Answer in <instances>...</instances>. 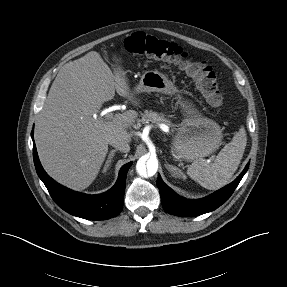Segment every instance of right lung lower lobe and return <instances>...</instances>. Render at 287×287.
Returning a JSON list of instances; mask_svg holds the SVG:
<instances>
[{"label": "right lung lower lobe", "mask_w": 287, "mask_h": 287, "mask_svg": "<svg viewBox=\"0 0 287 287\" xmlns=\"http://www.w3.org/2000/svg\"><path fill=\"white\" fill-rule=\"evenodd\" d=\"M33 159L37 174L45 184L52 199L69 214L88 220H104L113 218L122 211L126 175L131 162L121 168L116 184L109 191L99 195H86L58 184L47 175L40 164L35 143L33 145Z\"/></svg>", "instance_id": "right-lung-lower-lobe-1"}]
</instances>
